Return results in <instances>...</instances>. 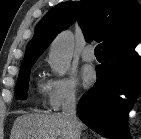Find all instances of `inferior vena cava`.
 Masks as SVG:
<instances>
[{"instance_id": "obj_1", "label": "inferior vena cava", "mask_w": 141, "mask_h": 139, "mask_svg": "<svg viewBox=\"0 0 141 139\" xmlns=\"http://www.w3.org/2000/svg\"><path fill=\"white\" fill-rule=\"evenodd\" d=\"M62 115L68 120L71 129V138L80 139V122L76 116V97L74 93L67 94L62 107Z\"/></svg>"}]
</instances>
